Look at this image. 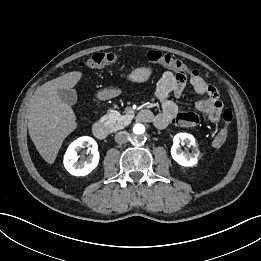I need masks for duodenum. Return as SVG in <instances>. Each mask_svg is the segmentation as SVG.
<instances>
[{"mask_svg": "<svg viewBox=\"0 0 261 261\" xmlns=\"http://www.w3.org/2000/svg\"><path fill=\"white\" fill-rule=\"evenodd\" d=\"M136 119L139 122H151L153 120V114L149 110H140ZM92 131L97 139H106L109 135V127L101 121H97L93 124Z\"/></svg>", "mask_w": 261, "mask_h": 261, "instance_id": "duodenum-1", "label": "duodenum"}]
</instances>
